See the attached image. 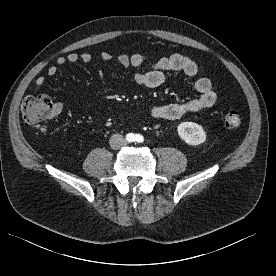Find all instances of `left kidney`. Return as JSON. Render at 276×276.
<instances>
[{"instance_id":"1","label":"left kidney","mask_w":276,"mask_h":276,"mask_svg":"<svg viewBox=\"0 0 276 276\" xmlns=\"http://www.w3.org/2000/svg\"><path fill=\"white\" fill-rule=\"evenodd\" d=\"M177 131L180 138L191 146L200 145L206 140V133L202 126L194 122L180 123Z\"/></svg>"}]
</instances>
